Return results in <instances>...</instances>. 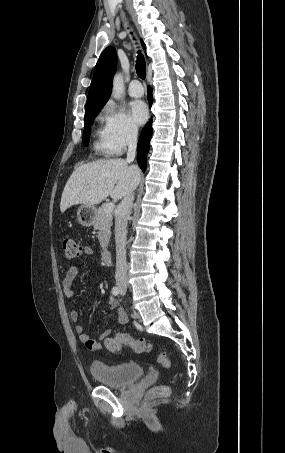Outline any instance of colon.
Returning <instances> with one entry per match:
<instances>
[{"label": "colon", "instance_id": "1", "mask_svg": "<svg viewBox=\"0 0 285 453\" xmlns=\"http://www.w3.org/2000/svg\"><path fill=\"white\" fill-rule=\"evenodd\" d=\"M63 250L65 258L69 261L76 259L80 255V246L72 238L63 240ZM107 349L113 354H120L123 346L130 347L135 353L143 354L153 351V345L145 339H134L127 333H117L113 337L105 339ZM157 361L165 368L170 367V360L167 354L163 351L156 352ZM170 388L166 385H161L152 390V395L156 397H165L169 395Z\"/></svg>", "mask_w": 285, "mask_h": 453}]
</instances>
